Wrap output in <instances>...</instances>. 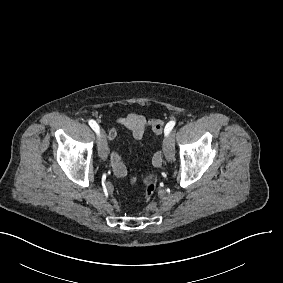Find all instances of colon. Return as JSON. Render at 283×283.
<instances>
[{
  "mask_svg": "<svg viewBox=\"0 0 283 283\" xmlns=\"http://www.w3.org/2000/svg\"><path fill=\"white\" fill-rule=\"evenodd\" d=\"M155 159H153L154 161ZM156 189V176L154 173H151L145 184V192H144V203H149L153 197H154V192Z\"/></svg>",
  "mask_w": 283,
  "mask_h": 283,
  "instance_id": "1",
  "label": "colon"
}]
</instances>
